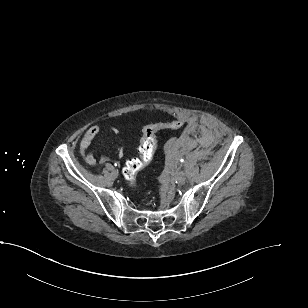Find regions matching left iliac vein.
Wrapping results in <instances>:
<instances>
[{"instance_id": "obj_1", "label": "left iliac vein", "mask_w": 308, "mask_h": 308, "mask_svg": "<svg viewBox=\"0 0 308 308\" xmlns=\"http://www.w3.org/2000/svg\"><path fill=\"white\" fill-rule=\"evenodd\" d=\"M175 179H176V181H177L179 184H183V183L185 182V180H186L185 173L182 172V171L176 173Z\"/></svg>"}]
</instances>
